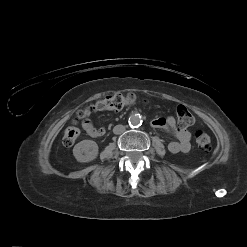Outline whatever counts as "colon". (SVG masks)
<instances>
[{"label":"colon","instance_id":"1","mask_svg":"<svg viewBox=\"0 0 247 247\" xmlns=\"http://www.w3.org/2000/svg\"><path fill=\"white\" fill-rule=\"evenodd\" d=\"M138 102V99L135 94H121L116 93L112 95H108L90 107L80 110L77 114L78 119H84L88 117L92 112L95 111H103V110H121L125 107H130L135 105ZM177 118L178 122L182 127H189L194 124L195 118L192 113L185 106L177 107ZM80 136V130L71 126L68 127L63 135V144L65 146H72ZM195 141L197 147L201 150H208L211 145V137L209 134L203 130H198L195 134Z\"/></svg>","mask_w":247,"mask_h":247}]
</instances>
